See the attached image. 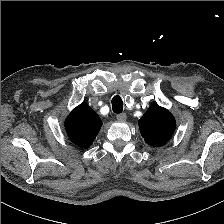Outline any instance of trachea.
Returning a JSON list of instances; mask_svg holds the SVG:
<instances>
[{"label":"trachea","mask_w":224,"mask_h":224,"mask_svg":"<svg viewBox=\"0 0 224 224\" xmlns=\"http://www.w3.org/2000/svg\"><path fill=\"white\" fill-rule=\"evenodd\" d=\"M112 110L117 114H120L123 111V101L119 95L112 98Z\"/></svg>","instance_id":"obj_1"}]
</instances>
